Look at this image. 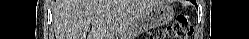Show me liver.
Masks as SVG:
<instances>
[{"label":"liver","mask_w":249,"mask_h":39,"mask_svg":"<svg viewBox=\"0 0 249 39\" xmlns=\"http://www.w3.org/2000/svg\"><path fill=\"white\" fill-rule=\"evenodd\" d=\"M157 3L158 0L59 2L55 18L56 39H123L135 18ZM90 25L92 29L87 35Z\"/></svg>","instance_id":"obj_1"}]
</instances>
